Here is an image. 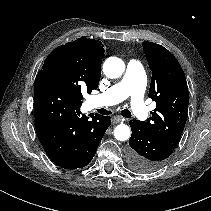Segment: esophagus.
<instances>
[{"mask_svg": "<svg viewBox=\"0 0 211 211\" xmlns=\"http://www.w3.org/2000/svg\"><path fill=\"white\" fill-rule=\"evenodd\" d=\"M124 120H125V118H123L122 116H119V115L114 116V117L112 118L113 124L120 123V122H122V121H124Z\"/></svg>", "mask_w": 211, "mask_h": 211, "instance_id": "obj_1", "label": "esophagus"}]
</instances>
